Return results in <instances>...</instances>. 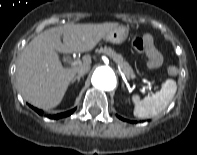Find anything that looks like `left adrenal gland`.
I'll return each mask as SVG.
<instances>
[{
	"mask_svg": "<svg viewBox=\"0 0 197 155\" xmlns=\"http://www.w3.org/2000/svg\"><path fill=\"white\" fill-rule=\"evenodd\" d=\"M122 87L124 88V83H122Z\"/></svg>",
	"mask_w": 197,
	"mask_h": 155,
	"instance_id": "obj_1",
	"label": "left adrenal gland"
}]
</instances>
